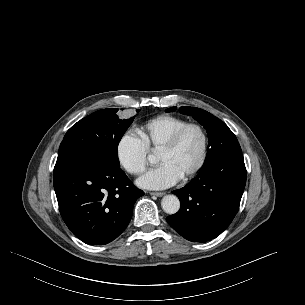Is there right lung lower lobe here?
Returning <instances> with one entry per match:
<instances>
[{"mask_svg": "<svg viewBox=\"0 0 305 305\" xmlns=\"http://www.w3.org/2000/svg\"><path fill=\"white\" fill-rule=\"evenodd\" d=\"M54 189L70 231L90 245L107 244L127 227L144 195L120 168L91 159L56 164Z\"/></svg>", "mask_w": 305, "mask_h": 305, "instance_id": "obj_1", "label": "right lung lower lobe"}]
</instances>
